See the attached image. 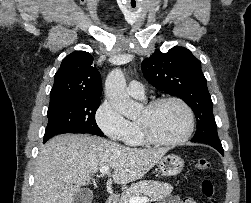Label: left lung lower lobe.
I'll return each mask as SVG.
<instances>
[{"instance_id": "1", "label": "left lung lower lobe", "mask_w": 251, "mask_h": 203, "mask_svg": "<svg viewBox=\"0 0 251 203\" xmlns=\"http://www.w3.org/2000/svg\"><path fill=\"white\" fill-rule=\"evenodd\" d=\"M209 145H211V146L214 147L216 150H218L222 155H224V150H223L221 144H209Z\"/></svg>"}]
</instances>
